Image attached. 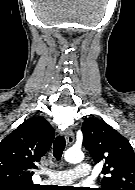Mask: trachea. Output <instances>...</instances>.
<instances>
[{"label": "trachea", "instance_id": "1", "mask_svg": "<svg viewBox=\"0 0 135 190\" xmlns=\"http://www.w3.org/2000/svg\"><path fill=\"white\" fill-rule=\"evenodd\" d=\"M66 142L64 136H58L53 145V155L57 160H60L65 148Z\"/></svg>", "mask_w": 135, "mask_h": 190}]
</instances>
